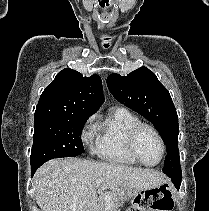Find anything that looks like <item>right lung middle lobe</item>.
I'll use <instances>...</instances> for the list:
<instances>
[{"mask_svg":"<svg viewBox=\"0 0 209 211\" xmlns=\"http://www.w3.org/2000/svg\"><path fill=\"white\" fill-rule=\"evenodd\" d=\"M89 116L38 118L34 121L31 167L53 158L74 157L84 152L81 133Z\"/></svg>","mask_w":209,"mask_h":211,"instance_id":"right-lung-middle-lobe-1","label":"right lung middle lobe"}]
</instances>
